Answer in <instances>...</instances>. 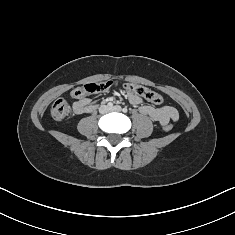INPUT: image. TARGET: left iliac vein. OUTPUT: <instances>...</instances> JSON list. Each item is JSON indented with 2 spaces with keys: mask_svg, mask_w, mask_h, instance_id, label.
I'll return each instance as SVG.
<instances>
[{
  "mask_svg": "<svg viewBox=\"0 0 235 235\" xmlns=\"http://www.w3.org/2000/svg\"><path fill=\"white\" fill-rule=\"evenodd\" d=\"M121 110H122L121 107L118 105L110 108V111L112 112H120Z\"/></svg>",
  "mask_w": 235,
  "mask_h": 235,
  "instance_id": "left-iliac-vein-1",
  "label": "left iliac vein"
}]
</instances>
